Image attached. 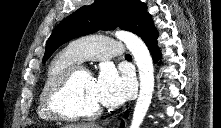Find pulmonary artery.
Wrapping results in <instances>:
<instances>
[{
	"mask_svg": "<svg viewBox=\"0 0 221 128\" xmlns=\"http://www.w3.org/2000/svg\"><path fill=\"white\" fill-rule=\"evenodd\" d=\"M123 44L119 41L100 38L95 35L82 36L70 42L69 47L81 61L102 58H126Z\"/></svg>",
	"mask_w": 221,
	"mask_h": 128,
	"instance_id": "obj_1",
	"label": "pulmonary artery"
}]
</instances>
